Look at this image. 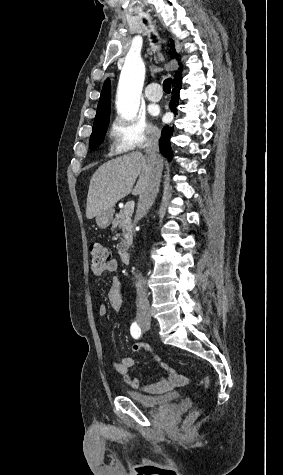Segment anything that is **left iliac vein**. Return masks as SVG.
<instances>
[{"instance_id": "left-iliac-vein-1", "label": "left iliac vein", "mask_w": 283, "mask_h": 475, "mask_svg": "<svg viewBox=\"0 0 283 475\" xmlns=\"http://www.w3.org/2000/svg\"><path fill=\"white\" fill-rule=\"evenodd\" d=\"M149 329H150V323H149V322L143 324V330H144V331H147V330H149Z\"/></svg>"}]
</instances>
